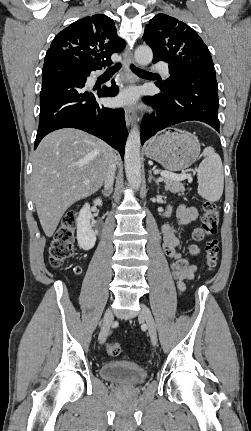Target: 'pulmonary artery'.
Instances as JSON below:
<instances>
[{
  "mask_svg": "<svg viewBox=\"0 0 251 431\" xmlns=\"http://www.w3.org/2000/svg\"><path fill=\"white\" fill-rule=\"evenodd\" d=\"M152 69L155 70V71H158V72L162 73L165 76H169L170 75L169 68L164 63H156V64H154L152 66Z\"/></svg>",
  "mask_w": 251,
  "mask_h": 431,
  "instance_id": "obj_1",
  "label": "pulmonary artery"
}]
</instances>
